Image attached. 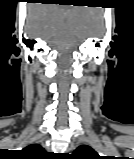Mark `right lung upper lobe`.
Returning <instances> with one entry per match:
<instances>
[{"label": "right lung upper lobe", "mask_w": 134, "mask_h": 159, "mask_svg": "<svg viewBox=\"0 0 134 159\" xmlns=\"http://www.w3.org/2000/svg\"><path fill=\"white\" fill-rule=\"evenodd\" d=\"M23 151L28 153V155L34 157V156L42 153L44 150L40 145L33 144V145H30V146L26 147L25 149H23ZM34 159H36V158H34Z\"/></svg>", "instance_id": "1"}]
</instances>
